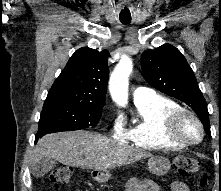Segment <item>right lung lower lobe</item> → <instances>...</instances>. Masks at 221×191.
<instances>
[{
    "label": "right lung lower lobe",
    "mask_w": 221,
    "mask_h": 191,
    "mask_svg": "<svg viewBox=\"0 0 221 191\" xmlns=\"http://www.w3.org/2000/svg\"><path fill=\"white\" fill-rule=\"evenodd\" d=\"M38 138H39V137L36 136V138H35V143L37 142Z\"/></svg>",
    "instance_id": "1"
}]
</instances>
